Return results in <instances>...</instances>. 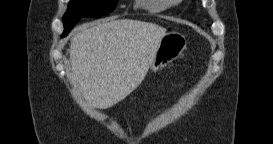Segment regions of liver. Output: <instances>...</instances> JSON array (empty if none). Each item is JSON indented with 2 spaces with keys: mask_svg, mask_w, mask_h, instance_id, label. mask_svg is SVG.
Segmentation results:
<instances>
[{
  "mask_svg": "<svg viewBox=\"0 0 273 144\" xmlns=\"http://www.w3.org/2000/svg\"><path fill=\"white\" fill-rule=\"evenodd\" d=\"M166 29L131 19L87 24L70 44L74 85L93 107L125 99L146 76Z\"/></svg>",
  "mask_w": 273,
  "mask_h": 144,
  "instance_id": "obj_1",
  "label": "liver"
}]
</instances>
